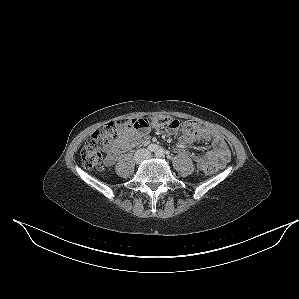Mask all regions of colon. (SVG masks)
Here are the masks:
<instances>
[{"label": "colon", "mask_w": 299, "mask_h": 299, "mask_svg": "<svg viewBox=\"0 0 299 299\" xmlns=\"http://www.w3.org/2000/svg\"><path fill=\"white\" fill-rule=\"evenodd\" d=\"M150 128H166L175 132L180 128V122L166 115L154 114L145 118L132 119L126 122L112 121L96 130L81 150V162L84 168L93 169L102 160L101 150L117 141L124 129H133L138 132L147 131ZM183 131L187 136L194 137L199 132L198 125L193 121L183 124ZM206 174L215 173L218 168L213 164L205 165L202 169Z\"/></svg>", "instance_id": "obj_1"}]
</instances>
